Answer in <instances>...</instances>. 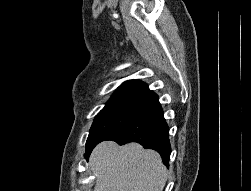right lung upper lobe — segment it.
Here are the masks:
<instances>
[{
    "instance_id": "obj_1",
    "label": "right lung upper lobe",
    "mask_w": 251,
    "mask_h": 191,
    "mask_svg": "<svg viewBox=\"0 0 251 191\" xmlns=\"http://www.w3.org/2000/svg\"><path fill=\"white\" fill-rule=\"evenodd\" d=\"M158 100V96L149 90L147 84L139 80H129L124 82L106 106H122L145 110Z\"/></svg>"
}]
</instances>
